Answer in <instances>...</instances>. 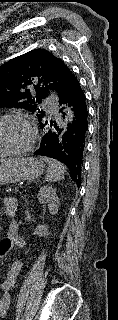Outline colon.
Segmentation results:
<instances>
[{"label":"colon","mask_w":118,"mask_h":320,"mask_svg":"<svg viewBox=\"0 0 118 320\" xmlns=\"http://www.w3.org/2000/svg\"><path fill=\"white\" fill-rule=\"evenodd\" d=\"M13 244L22 245L21 239L17 236L16 230L12 229L10 234L4 237L0 243V257L4 256Z\"/></svg>","instance_id":"colon-1"}]
</instances>
